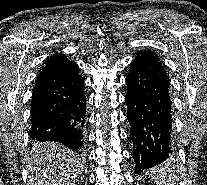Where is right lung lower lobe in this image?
<instances>
[{
	"label": "right lung lower lobe",
	"instance_id": "1",
	"mask_svg": "<svg viewBox=\"0 0 207 185\" xmlns=\"http://www.w3.org/2000/svg\"><path fill=\"white\" fill-rule=\"evenodd\" d=\"M85 113L84 82L78 72L34 88L30 138L35 142H59L78 151L83 145Z\"/></svg>",
	"mask_w": 207,
	"mask_h": 185
}]
</instances>
